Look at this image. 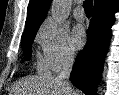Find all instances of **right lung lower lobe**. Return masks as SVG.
Masks as SVG:
<instances>
[{
    "label": "right lung lower lobe",
    "mask_w": 119,
    "mask_h": 95,
    "mask_svg": "<svg viewBox=\"0 0 119 95\" xmlns=\"http://www.w3.org/2000/svg\"><path fill=\"white\" fill-rule=\"evenodd\" d=\"M119 1H113L94 10L93 18L87 30V43L75 60L70 80L74 86L86 95H95L101 76L105 56L112 36L114 14Z\"/></svg>",
    "instance_id": "obj_1"
}]
</instances>
